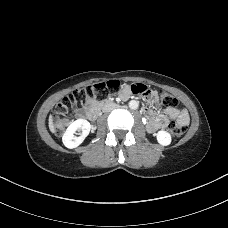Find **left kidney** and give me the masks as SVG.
Segmentation results:
<instances>
[{"label": "left kidney", "mask_w": 228, "mask_h": 228, "mask_svg": "<svg viewBox=\"0 0 228 228\" xmlns=\"http://www.w3.org/2000/svg\"><path fill=\"white\" fill-rule=\"evenodd\" d=\"M157 141L163 146H167L171 143V135L167 131L161 130L157 133Z\"/></svg>", "instance_id": "obj_1"}]
</instances>
